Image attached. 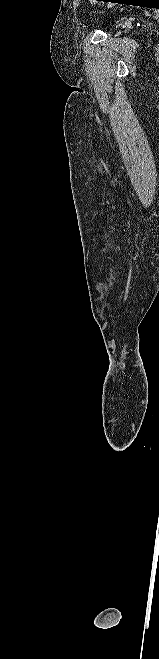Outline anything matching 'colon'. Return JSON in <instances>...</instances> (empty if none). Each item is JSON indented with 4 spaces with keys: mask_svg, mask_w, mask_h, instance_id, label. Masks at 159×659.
Segmentation results:
<instances>
[{
    "mask_svg": "<svg viewBox=\"0 0 159 659\" xmlns=\"http://www.w3.org/2000/svg\"><path fill=\"white\" fill-rule=\"evenodd\" d=\"M91 2H96L97 0H90Z\"/></svg>",
    "mask_w": 159,
    "mask_h": 659,
    "instance_id": "5ec220e1",
    "label": "colon"
}]
</instances>
